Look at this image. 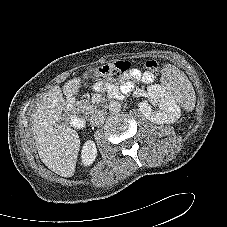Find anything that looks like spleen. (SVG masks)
<instances>
[{
	"mask_svg": "<svg viewBox=\"0 0 227 227\" xmlns=\"http://www.w3.org/2000/svg\"><path fill=\"white\" fill-rule=\"evenodd\" d=\"M161 86L182 108L193 110L196 100L193 86L185 74L175 66L168 64L163 68Z\"/></svg>",
	"mask_w": 227,
	"mask_h": 227,
	"instance_id": "obj_1",
	"label": "spleen"
}]
</instances>
